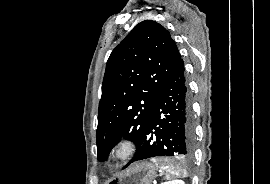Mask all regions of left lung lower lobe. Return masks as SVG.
<instances>
[{
    "label": "left lung lower lobe",
    "mask_w": 270,
    "mask_h": 184,
    "mask_svg": "<svg viewBox=\"0 0 270 184\" xmlns=\"http://www.w3.org/2000/svg\"><path fill=\"white\" fill-rule=\"evenodd\" d=\"M184 71L180 59L158 94L137 152L130 162L156 156L192 159L194 125Z\"/></svg>",
    "instance_id": "1"
}]
</instances>
